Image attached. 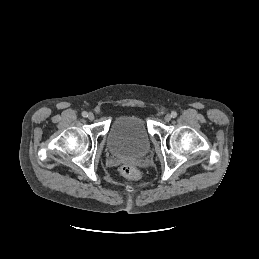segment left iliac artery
<instances>
[{
  "label": "left iliac artery",
  "instance_id": "obj_1",
  "mask_svg": "<svg viewBox=\"0 0 259 259\" xmlns=\"http://www.w3.org/2000/svg\"><path fill=\"white\" fill-rule=\"evenodd\" d=\"M171 116H172L173 118H175V117L177 116V112H176V111H172V112H171Z\"/></svg>",
  "mask_w": 259,
  "mask_h": 259
}]
</instances>
